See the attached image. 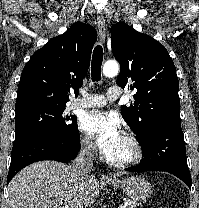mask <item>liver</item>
Wrapping results in <instances>:
<instances>
[{"label": "liver", "instance_id": "1", "mask_svg": "<svg viewBox=\"0 0 199 208\" xmlns=\"http://www.w3.org/2000/svg\"><path fill=\"white\" fill-rule=\"evenodd\" d=\"M99 195L97 177L71 165L40 161L22 169L8 186V208H83Z\"/></svg>", "mask_w": 199, "mask_h": 208}]
</instances>
